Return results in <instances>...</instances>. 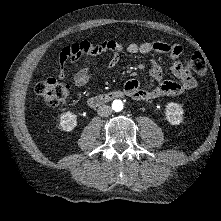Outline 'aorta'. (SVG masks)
I'll list each match as a JSON object with an SVG mask.
<instances>
[{
	"label": "aorta",
	"instance_id": "aorta-1",
	"mask_svg": "<svg viewBox=\"0 0 221 221\" xmlns=\"http://www.w3.org/2000/svg\"><path fill=\"white\" fill-rule=\"evenodd\" d=\"M112 107L115 111H121L123 109V102L121 100H114Z\"/></svg>",
	"mask_w": 221,
	"mask_h": 221
}]
</instances>
